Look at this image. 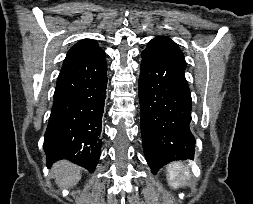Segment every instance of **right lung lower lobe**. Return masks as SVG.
I'll return each instance as SVG.
<instances>
[{
    "label": "right lung lower lobe",
    "instance_id": "right-lung-lower-lobe-1",
    "mask_svg": "<svg viewBox=\"0 0 253 204\" xmlns=\"http://www.w3.org/2000/svg\"><path fill=\"white\" fill-rule=\"evenodd\" d=\"M101 49L62 69L44 138L48 164L60 159L93 171L99 161L107 86Z\"/></svg>",
    "mask_w": 253,
    "mask_h": 204
}]
</instances>
